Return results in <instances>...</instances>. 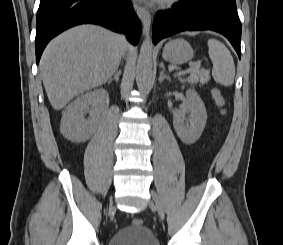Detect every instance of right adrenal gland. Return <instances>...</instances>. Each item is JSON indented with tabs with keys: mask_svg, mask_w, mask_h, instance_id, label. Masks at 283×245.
<instances>
[{
	"mask_svg": "<svg viewBox=\"0 0 283 245\" xmlns=\"http://www.w3.org/2000/svg\"><path fill=\"white\" fill-rule=\"evenodd\" d=\"M120 75H121V71H120V70H119V71H116V73L114 74L113 78H110V79L107 81V83L110 84V83H112V81L118 82Z\"/></svg>",
	"mask_w": 283,
	"mask_h": 245,
	"instance_id": "1",
	"label": "right adrenal gland"
}]
</instances>
